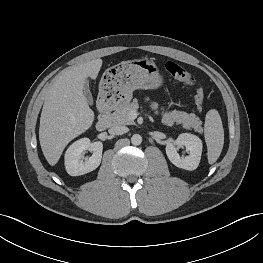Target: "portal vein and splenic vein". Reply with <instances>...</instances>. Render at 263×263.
Returning <instances> with one entry per match:
<instances>
[{
    "label": "portal vein and splenic vein",
    "instance_id": "1",
    "mask_svg": "<svg viewBox=\"0 0 263 263\" xmlns=\"http://www.w3.org/2000/svg\"><path fill=\"white\" fill-rule=\"evenodd\" d=\"M132 115H135V111H132V113H131Z\"/></svg>",
    "mask_w": 263,
    "mask_h": 263
}]
</instances>
